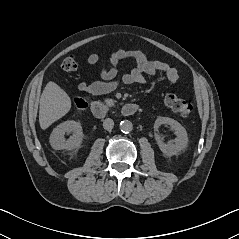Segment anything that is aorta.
I'll use <instances>...</instances> for the list:
<instances>
[{
  "mask_svg": "<svg viewBox=\"0 0 239 239\" xmlns=\"http://www.w3.org/2000/svg\"><path fill=\"white\" fill-rule=\"evenodd\" d=\"M119 127L123 133H129L133 130V124L129 120L121 121Z\"/></svg>",
  "mask_w": 239,
  "mask_h": 239,
  "instance_id": "aorta-1",
  "label": "aorta"
}]
</instances>
